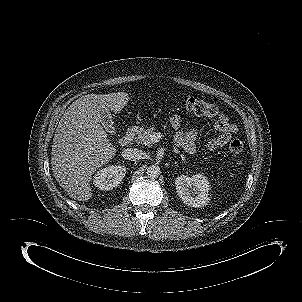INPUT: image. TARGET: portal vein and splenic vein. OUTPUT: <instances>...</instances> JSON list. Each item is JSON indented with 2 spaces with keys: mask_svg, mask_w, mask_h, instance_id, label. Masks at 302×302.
<instances>
[{
  "mask_svg": "<svg viewBox=\"0 0 302 302\" xmlns=\"http://www.w3.org/2000/svg\"><path fill=\"white\" fill-rule=\"evenodd\" d=\"M161 138V135L160 133H154L152 136H151V141L152 142H158Z\"/></svg>",
  "mask_w": 302,
  "mask_h": 302,
  "instance_id": "1",
  "label": "portal vein and splenic vein"
}]
</instances>
